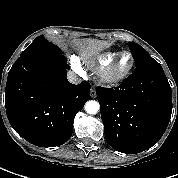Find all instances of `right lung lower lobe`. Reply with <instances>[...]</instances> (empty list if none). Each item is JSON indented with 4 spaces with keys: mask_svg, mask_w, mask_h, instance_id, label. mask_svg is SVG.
<instances>
[{
    "mask_svg": "<svg viewBox=\"0 0 178 178\" xmlns=\"http://www.w3.org/2000/svg\"><path fill=\"white\" fill-rule=\"evenodd\" d=\"M62 54L19 57L11 67L5 106L13 129L40 147L64 144L72 135L75 115L91 99L90 84L67 80Z\"/></svg>",
    "mask_w": 178,
    "mask_h": 178,
    "instance_id": "1",
    "label": "right lung lower lobe"
}]
</instances>
